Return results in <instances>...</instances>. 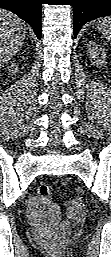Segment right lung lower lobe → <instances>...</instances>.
<instances>
[{
    "label": "right lung lower lobe",
    "instance_id": "98d812e1",
    "mask_svg": "<svg viewBox=\"0 0 111 257\" xmlns=\"http://www.w3.org/2000/svg\"><path fill=\"white\" fill-rule=\"evenodd\" d=\"M41 4L42 0H0V8L13 12L28 23L38 39L41 38Z\"/></svg>",
    "mask_w": 111,
    "mask_h": 257
}]
</instances>
